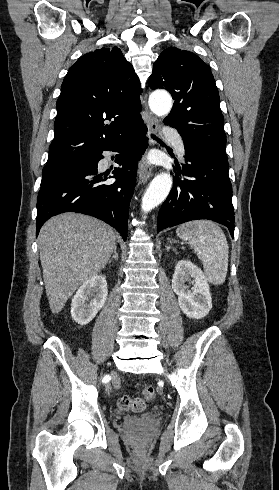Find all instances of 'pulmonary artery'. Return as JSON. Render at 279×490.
<instances>
[{
    "label": "pulmonary artery",
    "instance_id": "pulmonary-artery-1",
    "mask_svg": "<svg viewBox=\"0 0 279 490\" xmlns=\"http://www.w3.org/2000/svg\"><path fill=\"white\" fill-rule=\"evenodd\" d=\"M167 135L169 138L177 137V135H178L177 128H168ZM177 148H178L180 155L183 156L184 155V147L180 141H177Z\"/></svg>",
    "mask_w": 279,
    "mask_h": 490
}]
</instances>
